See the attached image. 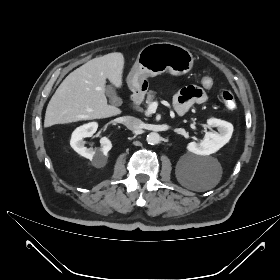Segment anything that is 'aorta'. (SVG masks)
Here are the masks:
<instances>
[{
	"label": "aorta",
	"instance_id": "aorta-1",
	"mask_svg": "<svg viewBox=\"0 0 280 280\" xmlns=\"http://www.w3.org/2000/svg\"><path fill=\"white\" fill-rule=\"evenodd\" d=\"M146 141L148 144L156 145L161 141V137L157 132H151L147 135Z\"/></svg>",
	"mask_w": 280,
	"mask_h": 280
}]
</instances>
